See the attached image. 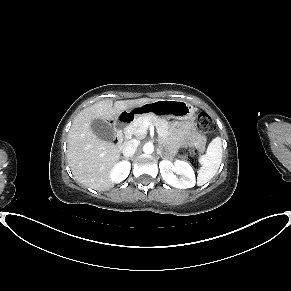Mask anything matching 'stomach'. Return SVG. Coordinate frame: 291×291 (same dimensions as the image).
<instances>
[{"label": "stomach", "mask_w": 291, "mask_h": 291, "mask_svg": "<svg viewBox=\"0 0 291 291\" xmlns=\"http://www.w3.org/2000/svg\"><path fill=\"white\" fill-rule=\"evenodd\" d=\"M128 113L134 117L142 115H155L162 118H175L179 120H192L195 109L183 100L158 99L148 103L136 105Z\"/></svg>", "instance_id": "obj_1"}]
</instances>
